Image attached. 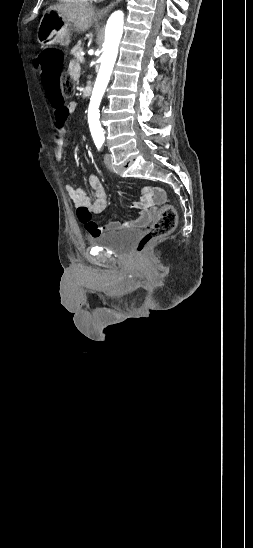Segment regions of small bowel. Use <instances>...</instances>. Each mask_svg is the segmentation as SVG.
Listing matches in <instances>:
<instances>
[{"label":"small bowel","mask_w":253,"mask_h":548,"mask_svg":"<svg viewBox=\"0 0 253 548\" xmlns=\"http://www.w3.org/2000/svg\"><path fill=\"white\" fill-rule=\"evenodd\" d=\"M79 71V64L75 61H71L67 68L68 74L73 79H77L79 76ZM78 105L79 103H72L70 106L66 107L67 116H69L70 112L78 107ZM58 106L59 105H53L56 109L57 125L55 134V158L57 160H62L64 154L66 126H60L57 122ZM89 184L94 190L92 197L88 196L83 189L74 185H67L66 191L74 205L77 207V217L79 221L85 225L86 230L91 236H96L105 232L120 230L123 228L146 225L155 215L156 208L154 207V202H161L165 199V193L161 188L145 187L141 192L139 200L133 205L135 209L140 211V214L136 219L124 222L115 221L104 225H98L92 220L91 213L96 215L102 214L108 207L109 196L105 187L96 175L92 174L89 176Z\"/></svg>","instance_id":"1"}]
</instances>
